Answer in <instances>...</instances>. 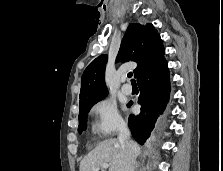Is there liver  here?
Here are the masks:
<instances>
[{"label":"liver","instance_id":"obj_1","mask_svg":"<svg viewBox=\"0 0 223 171\" xmlns=\"http://www.w3.org/2000/svg\"><path fill=\"white\" fill-rule=\"evenodd\" d=\"M135 146L136 156L140 152L137 143L132 142ZM125 153L120 142L115 138H110L100 142L94 150L80 162L79 171H94L95 168L102 164L109 165V171H124Z\"/></svg>","mask_w":223,"mask_h":171}]
</instances>
